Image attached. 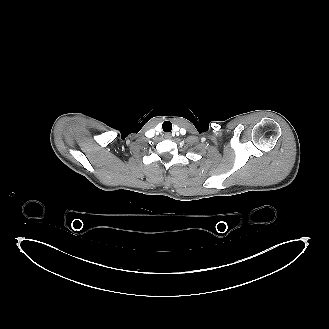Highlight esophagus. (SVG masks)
<instances>
[{
	"label": "esophagus",
	"mask_w": 329,
	"mask_h": 329,
	"mask_svg": "<svg viewBox=\"0 0 329 329\" xmlns=\"http://www.w3.org/2000/svg\"><path fill=\"white\" fill-rule=\"evenodd\" d=\"M165 139H171V134L170 133H165L164 134Z\"/></svg>",
	"instance_id": "34e87169"
}]
</instances>
